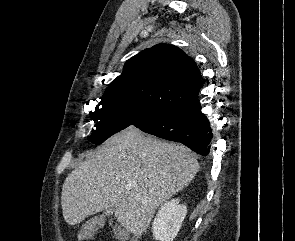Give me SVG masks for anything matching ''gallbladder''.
I'll return each instance as SVG.
<instances>
[{
    "label": "gallbladder",
    "instance_id": "gallbladder-1",
    "mask_svg": "<svg viewBox=\"0 0 295 241\" xmlns=\"http://www.w3.org/2000/svg\"><path fill=\"white\" fill-rule=\"evenodd\" d=\"M113 213H114V209H113V208H109V209H107V210L104 212V214L107 215V216H110V215H112Z\"/></svg>",
    "mask_w": 295,
    "mask_h": 241
}]
</instances>
